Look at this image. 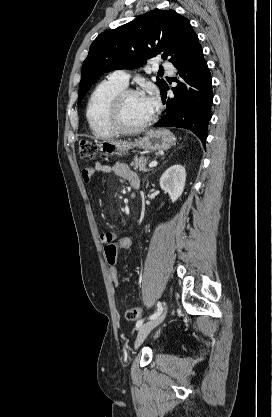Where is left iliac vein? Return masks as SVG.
<instances>
[{
  "mask_svg": "<svg viewBox=\"0 0 272 417\" xmlns=\"http://www.w3.org/2000/svg\"><path fill=\"white\" fill-rule=\"evenodd\" d=\"M167 310H168V306L164 305L161 313L159 316H157L154 319H151L150 321L146 322L145 324H143L137 334V338L135 341V348H138L142 342L144 341V339L147 337V335L159 324H161L163 322V320L166 317L167 314Z\"/></svg>",
  "mask_w": 272,
  "mask_h": 417,
  "instance_id": "obj_1",
  "label": "left iliac vein"
}]
</instances>
